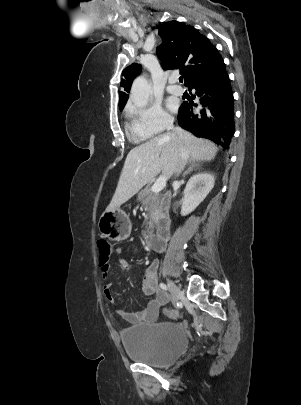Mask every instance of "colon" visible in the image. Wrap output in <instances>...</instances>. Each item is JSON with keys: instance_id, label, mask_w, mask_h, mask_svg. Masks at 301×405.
<instances>
[{"instance_id": "colon-1", "label": "colon", "mask_w": 301, "mask_h": 405, "mask_svg": "<svg viewBox=\"0 0 301 405\" xmlns=\"http://www.w3.org/2000/svg\"><path fill=\"white\" fill-rule=\"evenodd\" d=\"M97 246H98L100 256L108 257L110 255L111 246L107 241L99 240L98 243H97ZM164 312H165L166 315L170 316L173 319H180L181 318V314L179 312H177V311L166 309Z\"/></svg>"}]
</instances>
